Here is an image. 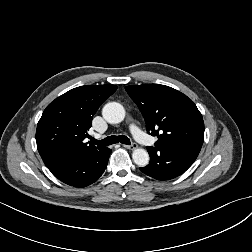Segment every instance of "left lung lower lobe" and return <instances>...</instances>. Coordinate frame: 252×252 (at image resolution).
<instances>
[{
	"label": "left lung lower lobe",
	"instance_id": "obj_1",
	"mask_svg": "<svg viewBox=\"0 0 252 252\" xmlns=\"http://www.w3.org/2000/svg\"><path fill=\"white\" fill-rule=\"evenodd\" d=\"M150 162L140 170L157 180H170L183 174L196 160L198 154L182 149H157L147 147Z\"/></svg>",
	"mask_w": 252,
	"mask_h": 252
}]
</instances>
